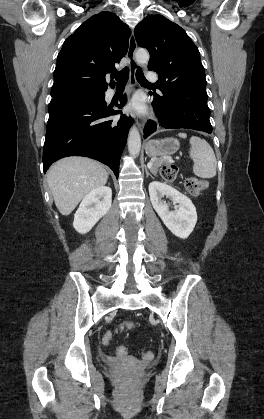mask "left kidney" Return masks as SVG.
Segmentation results:
<instances>
[{
  "label": "left kidney",
  "instance_id": "obj_1",
  "mask_svg": "<svg viewBox=\"0 0 264 419\" xmlns=\"http://www.w3.org/2000/svg\"><path fill=\"white\" fill-rule=\"evenodd\" d=\"M149 195L154 210L165 226L175 236L186 239L197 222L196 208L192 201L175 188L158 181L149 184ZM164 196L172 200L174 204L178 203V210L170 211L169 205L162 200Z\"/></svg>",
  "mask_w": 264,
  "mask_h": 419
}]
</instances>
